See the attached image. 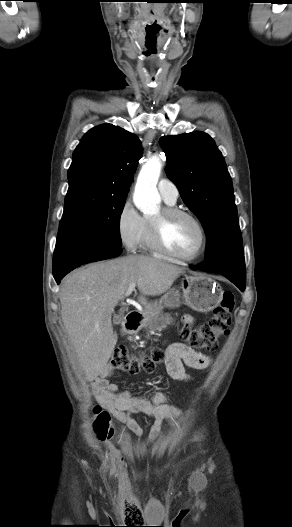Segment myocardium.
<instances>
[{
    "label": "myocardium",
    "mask_w": 292,
    "mask_h": 527,
    "mask_svg": "<svg viewBox=\"0 0 292 527\" xmlns=\"http://www.w3.org/2000/svg\"><path fill=\"white\" fill-rule=\"evenodd\" d=\"M177 216H185L190 218L197 225L200 232V244L198 249L189 256H183L172 251L165 242L164 229L167 222ZM149 230L152 244L159 253L181 262H192L201 257L207 248L208 237L204 224L191 211L178 207L165 206L160 210L158 217L149 218Z\"/></svg>",
    "instance_id": "f54148a6"
}]
</instances>
